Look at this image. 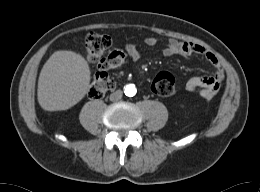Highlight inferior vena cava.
Returning a JSON list of instances; mask_svg holds the SVG:
<instances>
[{"label": "inferior vena cava", "mask_w": 260, "mask_h": 192, "mask_svg": "<svg viewBox=\"0 0 260 192\" xmlns=\"http://www.w3.org/2000/svg\"><path fill=\"white\" fill-rule=\"evenodd\" d=\"M122 91L121 90H117L115 92H113L111 95H110V100L111 101H118L122 98Z\"/></svg>", "instance_id": "1"}]
</instances>
